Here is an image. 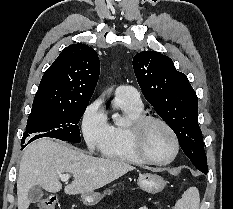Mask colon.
I'll list each match as a JSON object with an SVG mask.
<instances>
[{"label":"colon","instance_id":"colon-1","mask_svg":"<svg viewBox=\"0 0 233 209\" xmlns=\"http://www.w3.org/2000/svg\"><path fill=\"white\" fill-rule=\"evenodd\" d=\"M57 198L55 196H49L44 198L40 204V209H56Z\"/></svg>","mask_w":233,"mask_h":209}]
</instances>
